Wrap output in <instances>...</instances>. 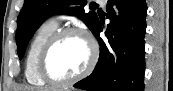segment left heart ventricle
<instances>
[{
  "mask_svg": "<svg viewBox=\"0 0 173 91\" xmlns=\"http://www.w3.org/2000/svg\"><path fill=\"white\" fill-rule=\"evenodd\" d=\"M89 55V45L82 36L66 35L52 47L46 60L47 73L54 79L70 78L85 68Z\"/></svg>",
  "mask_w": 173,
  "mask_h": 91,
  "instance_id": "b2bd125f",
  "label": "left heart ventricle"
}]
</instances>
